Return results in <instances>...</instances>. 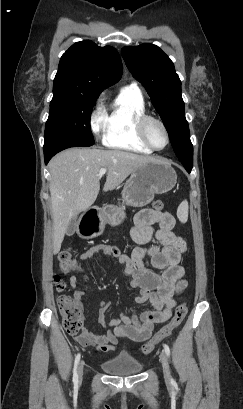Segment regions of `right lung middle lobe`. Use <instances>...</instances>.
Masks as SVG:
<instances>
[{
    "mask_svg": "<svg viewBox=\"0 0 243 409\" xmlns=\"http://www.w3.org/2000/svg\"><path fill=\"white\" fill-rule=\"evenodd\" d=\"M97 97L53 87L44 146L60 140L93 145L90 117Z\"/></svg>",
    "mask_w": 243,
    "mask_h": 409,
    "instance_id": "1",
    "label": "right lung middle lobe"
}]
</instances>
